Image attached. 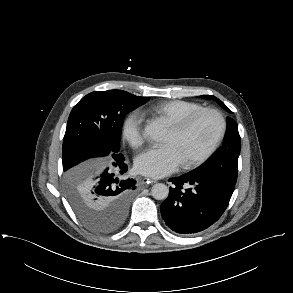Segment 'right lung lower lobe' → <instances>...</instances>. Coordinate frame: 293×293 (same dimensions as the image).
I'll list each match as a JSON object with an SVG mask.
<instances>
[{"mask_svg":"<svg viewBox=\"0 0 293 293\" xmlns=\"http://www.w3.org/2000/svg\"><path fill=\"white\" fill-rule=\"evenodd\" d=\"M107 163H110V167L105 168L101 173L89 174L85 197L88 199L90 206L97 212L114 213L123 217L124 222L131 192L136 188V182L133 179L121 180L117 177V175L127 171V165L124 163L122 154L110 158L108 162L102 165Z\"/></svg>","mask_w":293,"mask_h":293,"instance_id":"98d812e1","label":"right lung lower lobe"}]
</instances>
